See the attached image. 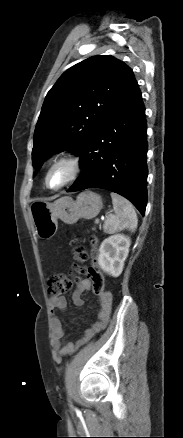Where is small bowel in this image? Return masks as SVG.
<instances>
[{"mask_svg":"<svg viewBox=\"0 0 183 438\" xmlns=\"http://www.w3.org/2000/svg\"><path fill=\"white\" fill-rule=\"evenodd\" d=\"M91 289V282L89 279H79L75 290L72 293V302L75 306L80 307L84 304L82 295L84 292ZM98 313L96 321L91 324L84 332V335L81 339L76 342L68 341L65 343L61 342V339L64 337L65 329L64 326L58 316H56L55 312L65 311L67 308V301L64 296L59 297H50L49 299V308L51 312L50 318V327L52 330L53 341L55 348L61 355H67L73 352L75 347L82 343L83 341L89 340L96 333L104 329L108 323L111 310H112V294L110 292H105L103 295L98 298Z\"/></svg>","mask_w":183,"mask_h":438,"instance_id":"c3829d8e","label":"small bowel"}]
</instances>
